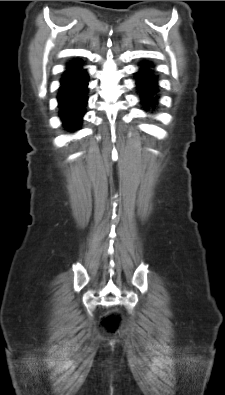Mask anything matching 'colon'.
I'll use <instances>...</instances> for the list:
<instances>
[{"instance_id": "colon-1", "label": "colon", "mask_w": 225, "mask_h": 395, "mask_svg": "<svg viewBox=\"0 0 225 395\" xmlns=\"http://www.w3.org/2000/svg\"><path fill=\"white\" fill-rule=\"evenodd\" d=\"M122 318V313L119 311L108 312L101 319V327L107 333H114L118 329Z\"/></svg>"}]
</instances>
